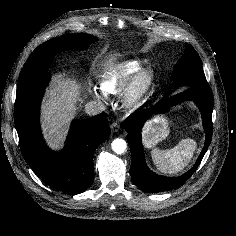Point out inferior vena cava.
<instances>
[{"label": "inferior vena cava", "instance_id": "inferior-vena-cava-1", "mask_svg": "<svg viewBox=\"0 0 236 236\" xmlns=\"http://www.w3.org/2000/svg\"><path fill=\"white\" fill-rule=\"evenodd\" d=\"M105 111V105L101 101H90L85 105V112L94 116Z\"/></svg>", "mask_w": 236, "mask_h": 236}]
</instances>
